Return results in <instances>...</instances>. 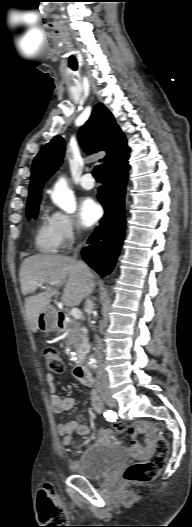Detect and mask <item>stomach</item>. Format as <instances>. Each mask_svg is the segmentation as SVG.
<instances>
[{
  "instance_id": "obj_1",
  "label": "stomach",
  "mask_w": 192,
  "mask_h": 527,
  "mask_svg": "<svg viewBox=\"0 0 192 527\" xmlns=\"http://www.w3.org/2000/svg\"><path fill=\"white\" fill-rule=\"evenodd\" d=\"M38 329L44 333L58 329V316L54 307L48 306L41 311L38 317Z\"/></svg>"
}]
</instances>
